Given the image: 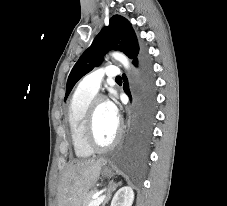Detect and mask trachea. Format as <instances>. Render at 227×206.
Here are the masks:
<instances>
[{
	"instance_id": "obj_1",
	"label": "trachea",
	"mask_w": 227,
	"mask_h": 206,
	"mask_svg": "<svg viewBox=\"0 0 227 206\" xmlns=\"http://www.w3.org/2000/svg\"><path fill=\"white\" fill-rule=\"evenodd\" d=\"M116 80L119 81V80H122L120 76L116 77Z\"/></svg>"
}]
</instances>
